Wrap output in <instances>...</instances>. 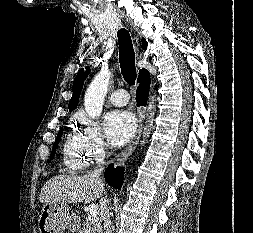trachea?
Listing matches in <instances>:
<instances>
[{
	"instance_id": "3493384b",
	"label": "trachea",
	"mask_w": 253,
	"mask_h": 233,
	"mask_svg": "<svg viewBox=\"0 0 253 233\" xmlns=\"http://www.w3.org/2000/svg\"><path fill=\"white\" fill-rule=\"evenodd\" d=\"M119 62L124 80L134 85L136 81L135 53L130 34L126 29L118 31Z\"/></svg>"
}]
</instances>
